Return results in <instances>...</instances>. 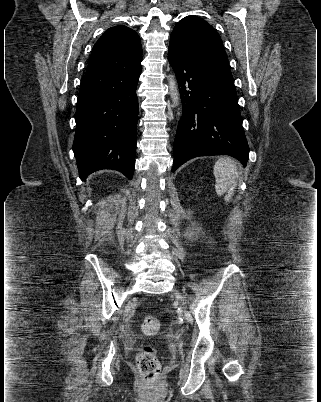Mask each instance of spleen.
<instances>
[{
    "instance_id": "1",
    "label": "spleen",
    "mask_w": 321,
    "mask_h": 402,
    "mask_svg": "<svg viewBox=\"0 0 321 402\" xmlns=\"http://www.w3.org/2000/svg\"><path fill=\"white\" fill-rule=\"evenodd\" d=\"M214 176L217 195L226 194L224 199L229 202L237 186L238 170L235 162L226 157L218 159L214 165Z\"/></svg>"
}]
</instances>
